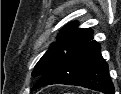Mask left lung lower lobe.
I'll list each match as a JSON object with an SVG mask.
<instances>
[{
  "label": "left lung lower lobe",
  "mask_w": 121,
  "mask_h": 94,
  "mask_svg": "<svg viewBox=\"0 0 121 94\" xmlns=\"http://www.w3.org/2000/svg\"><path fill=\"white\" fill-rule=\"evenodd\" d=\"M51 84L75 85L105 94H115L108 65L100 53V45L91 40L47 70L31 89Z\"/></svg>",
  "instance_id": "0a47b994"
}]
</instances>
